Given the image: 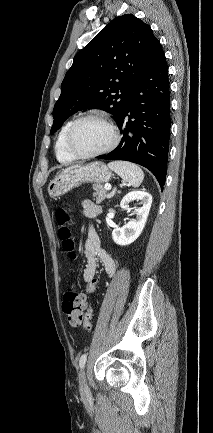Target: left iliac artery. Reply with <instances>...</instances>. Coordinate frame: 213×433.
Instances as JSON below:
<instances>
[{
	"instance_id": "left-iliac-artery-1",
	"label": "left iliac artery",
	"mask_w": 213,
	"mask_h": 433,
	"mask_svg": "<svg viewBox=\"0 0 213 433\" xmlns=\"http://www.w3.org/2000/svg\"><path fill=\"white\" fill-rule=\"evenodd\" d=\"M86 360H87V354L85 353L79 359V366L81 369L85 366Z\"/></svg>"
}]
</instances>
